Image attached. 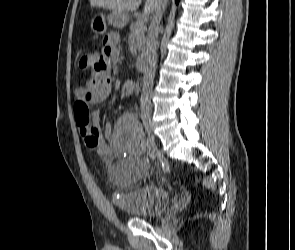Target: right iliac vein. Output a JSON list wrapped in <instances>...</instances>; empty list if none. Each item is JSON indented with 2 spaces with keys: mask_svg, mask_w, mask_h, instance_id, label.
<instances>
[{
  "mask_svg": "<svg viewBox=\"0 0 295 250\" xmlns=\"http://www.w3.org/2000/svg\"><path fill=\"white\" fill-rule=\"evenodd\" d=\"M143 124H144L146 131H148L151 134L152 129H153V124H152L151 120L147 117H144ZM151 138L152 139L154 138L153 135H151Z\"/></svg>",
  "mask_w": 295,
  "mask_h": 250,
  "instance_id": "obj_1",
  "label": "right iliac vein"
}]
</instances>
